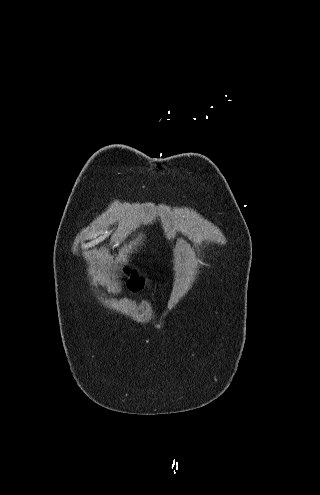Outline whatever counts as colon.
Returning <instances> with one entry per match:
<instances>
[{
  "label": "colon",
  "mask_w": 320,
  "mask_h": 495,
  "mask_svg": "<svg viewBox=\"0 0 320 495\" xmlns=\"http://www.w3.org/2000/svg\"><path fill=\"white\" fill-rule=\"evenodd\" d=\"M127 271L132 274V277L129 280V285L134 288L138 289L142 286L143 284V278L142 276L138 273L137 270L128 268Z\"/></svg>",
  "instance_id": "colon-1"
}]
</instances>
